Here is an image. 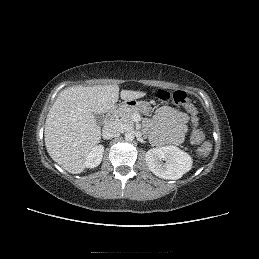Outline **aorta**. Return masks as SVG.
<instances>
[{"mask_svg": "<svg viewBox=\"0 0 259 259\" xmlns=\"http://www.w3.org/2000/svg\"><path fill=\"white\" fill-rule=\"evenodd\" d=\"M124 138L128 142L133 141L134 140V133L133 132H126Z\"/></svg>", "mask_w": 259, "mask_h": 259, "instance_id": "762f6f07", "label": "aorta"}]
</instances>
